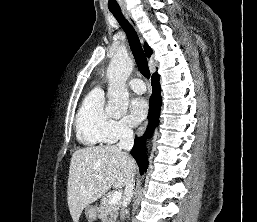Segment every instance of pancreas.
I'll return each mask as SVG.
<instances>
[{"label":"pancreas","instance_id":"pancreas-1","mask_svg":"<svg viewBox=\"0 0 257 222\" xmlns=\"http://www.w3.org/2000/svg\"><path fill=\"white\" fill-rule=\"evenodd\" d=\"M121 207L120 203H108V198L101 199L100 207L98 208L99 218L103 222H116L118 211Z\"/></svg>","mask_w":257,"mask_h":222}]
</instances>
